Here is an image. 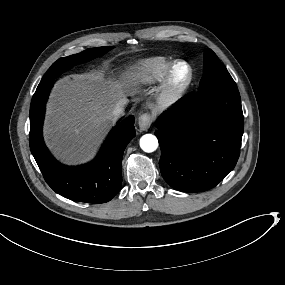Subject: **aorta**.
Instances as JSON below:
<instances>
[{
    "label": "aorta",
    "mask_w": 285,
    "mask_h": 285,
    "mask_svg": "<svg viewBox=\"0 0 285 285\" xmlns=\"http://www.w3.org/2000/svg\"><path fill=\"white\" fill-rule=\"evenodd\" d=\"M140 147L144 152L152 153L158 148V140L152 134H146L140 139Z\"/></svg>",
    "instance_id": "1"
}]
</instances>
